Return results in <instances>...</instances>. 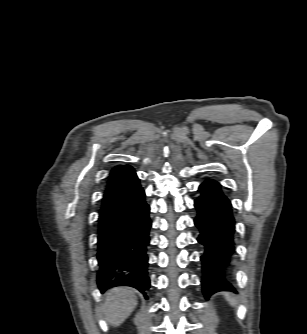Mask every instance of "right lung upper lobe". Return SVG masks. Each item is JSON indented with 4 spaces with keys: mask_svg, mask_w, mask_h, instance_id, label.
I'll use <instances>...</instances> for the list:
<instances>
[{
    "mask_svg": "<svg viewBox=\"0 0 307 334\" xmlns=\"http://www.w3.org/2000/svg\"><path fill=\"white\" fill-rule=\"evenodd\" d=\"M133 175H135V171L129 165H125V166L120 165V166L113 168L110 174V178L108 181V187L105 193L108 192L111 188H114L118 186L119 184L125 182L128 178H130Z\"/></svg>",
    "mask_w": 307,
    "mask_h": 334,
    "instance_id": "1",
    "label": "right lung upper lobe"
}]
</instances>
